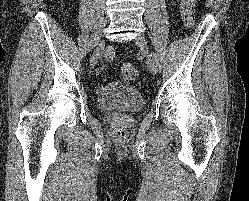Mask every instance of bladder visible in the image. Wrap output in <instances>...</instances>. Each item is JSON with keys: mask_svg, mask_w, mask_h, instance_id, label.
Instances as JSON below:
<instances>
[{"mask_svg": "<svg viewBox=\"0 0 249 201\" xmlns=\"http://www.w3.org/2000/svg\"><path fill=\"white\" fill-rule=\"evenodd\" d=\"M144 96L139 88L125 82H110L99 88L96 106L101 111H139L144 107Z\"/></svg>", "mask_w": 249, "mask_h": 201, "instance_id": "31cf9c89", "label": "bladder"}]
</instances>
